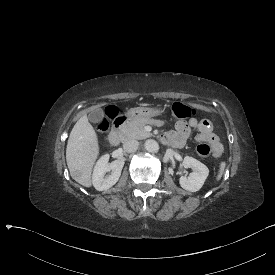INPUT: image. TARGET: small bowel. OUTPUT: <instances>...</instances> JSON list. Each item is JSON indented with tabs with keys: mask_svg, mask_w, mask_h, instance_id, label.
<instances>
[{
	"mask_svg": "<svg viewBox=\"0 0 275 275\" xmlns=\"http://www.w3.org/2000/svg\"><path fill=\"white\" fill-rule=\"evenodd\" d=\"M176 129L177 131L175 133H169L165 137L172 138L174 136H178L180 138V143L178 145H181L185 141V139L189 136L190 132L193 129H197L198 133L196 135V140L199 142H207L211 144L213 148V155L215 157H219L222 154L223 146L219 142L217 135L213 132V127L209 120L198 121L197 119L193 118L187 122L179 121L177 123ZM168 141H173V140L168 139Z\"/></svg>",
	"mask_w": 275,
	"mask_h": 275,
	"instance_id": "obj_1",
	"label": "small bowel"
}]
</instances>
